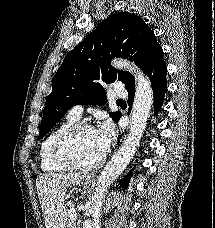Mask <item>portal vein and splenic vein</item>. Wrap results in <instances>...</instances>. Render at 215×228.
Instances as JSON below:
<instances>
[{
  "label": "portal vein and splenic vein",
  "mask_w": 215,
  "mask_h": 228,
  "mask_svg": "<svg viewBox=\"0 0 215 228\" xmlns=\"http://www.w3.org/2000/svg\"><path fill=\"white\" fill-rule=\"evenodd\" d=\"M70 216H72L73 220H77L78 216L75 208H71Z\"/></svg>",
  "instance_id": "1"
}]
</instances>
